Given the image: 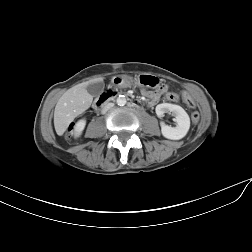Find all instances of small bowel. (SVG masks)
<instances>
[{
    "label": "small bowel",
    "mask_w": 252,
    "mask_h": 252,
    "mask_svg": "<svg viewBox=\"0 0 252 252\" xmlns=\"http://www.w3.org/2000/svg\"><path fill=\"white\" fill-rule=\"evenodd\" d=\"M165 91V88H162L159 91H144L145 96L149 99V106H154L160 97L161 92ZM183 97H188L186 94H183Z\"/></svg>",
    "instance_id": "obj_1"
}]
</instances>
